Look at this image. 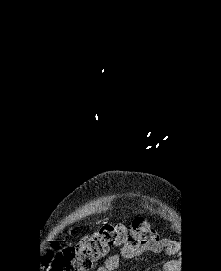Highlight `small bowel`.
<instances>
[{
	"instance_id": "1",
	"label": "small bowel",
	"mask_w": 221,
	"mask_h": 271,
	"mask_svg": "<svg viewBox=\"0 0 221 271\" xmlns=\"http://www.w3.org/2000/svg\"><path fill=\"white\" fill-rule=\"evenodd\" d=\"M170 246V241L166 239H156L155 241L136 249L122 248L120 252L109 256L106 259L105 264L100 266L97 271H116L122 258L131 259L148 252L161 253L168 250Z\"/></svg>"
}]
</instances>
